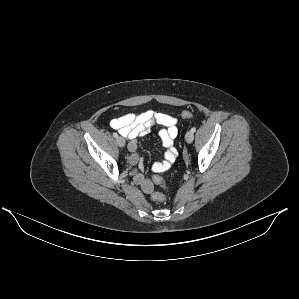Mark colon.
I'll return each instance as SVG.
<instances>
[{
	"label": "colon",
	"mask_w": 299,
	"mask_h": 299,
	"mask_svg": "<svg viewBox=\"0 0 299 299\" xmlns=\"http://www.w3.org/2000/svg\"><path fill=\"white\" fill-rule=\"evenodd\" d=\"M181 116H182L183 119H190L193 116V114L190 111H184ZM154 181H155L156 184L164 186V183H163V181L160 177H158V176L155 177ZM152 197L157 202H163L164 199H165L164 195L159 193V192L153 193Z\"/></svg>",
	"instance_id": "1"
}]
</instances>
